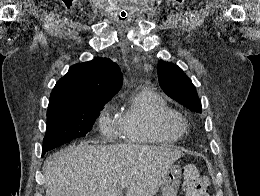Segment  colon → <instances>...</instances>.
Segmentation results:
<instances>
[{
	"instance_id": "obj_1",
	"label": "colon",
	"mask_w": 260,
	"mask_h": 196,
	"mask_svg": "<svg viewBox=\"0 0 260 196\" xmlns=\"http://www.w3.org/2000/svg\"><path fill=\"white\" fill-rule=\"evenodd\" d=\"M183 185L186 196H208L210 179L195 166H187L183 170Z\"/></svg>"
}]
</instances>
